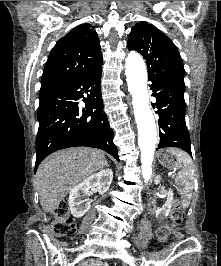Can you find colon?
<instances>
[{"mask_svg":"<svg viewBox=\"0 0 221 266\" xmlns=\"http://www.w3.org/2000/svg\"><path fill=\"white\" fill-rule=\"evenodd\" d=\"M54 220L51 225L52 232L57 236H69L74 234L76 230L75 223L70 216L69 206L66 201L60 202L55 208ZM184 209L179 204H175L170 217V222L163 224L157 230V237L159 240L164 241L171 234L172 231L178 227L184 219ZM180 238L181 235L176 233Z\"/></svg>","mask_w":221,"mask_h":266,"instance_id":"obj_1","label":"colon"}]
</instances>
